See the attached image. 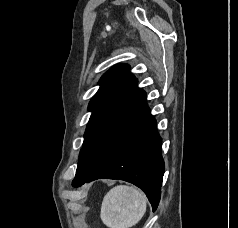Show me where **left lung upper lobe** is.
Here are the masks:
<instances>
[{
	"label": "left lung upper lobe",
	"instance_id": "5c2ea615",
	"mask_svg": "<svg viewBox=\"0 0 238 228\" xmlns=\"http://www.w3.org/2000/svg\"><path fill=\"white\" fill-rule=\"evenodd\" d=\"M99 85L88 107L92 115L85 131L76 176L88 175L99 165L146 95L137 87V79L129 72L127 64L112 67L101 77Z\"/></svg>",
	"mask_w": 238,
	"mask_h": 228
}]
</instances>
